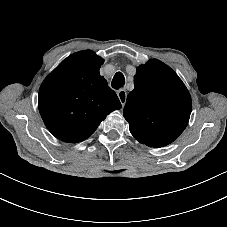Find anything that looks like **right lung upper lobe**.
<instances>
[{"label": "right lung upper lobe", "mask_w": 227, "mask_h": 227, "mask_svg": "<svg viewBox=\"0 0 227 227\" xmlns=\"http://www.w3.org/2000/svg\"><path fill=\"white\" fill-rule=\"evenodd\" d=\"M103 59L91 50L63 60L43 81L38 107L49 131L59 140L77 143L91 136L108 114L122 107L100 76Z\"/></svg>", "instance_id": "obj_1"}]
</instances>
